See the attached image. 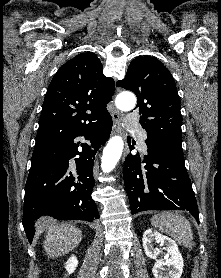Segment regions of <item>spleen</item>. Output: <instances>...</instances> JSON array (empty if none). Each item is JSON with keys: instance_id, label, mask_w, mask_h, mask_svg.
<instances>
[{"instance_id": "3e777b00", "label": "spleen", "mask_w": 221, "mask_h": 278, "mask_svg": "<svg viewBox=\"0 0 221 278\" xmlns=\"http://www.w3.org/2000/svg\"><path fill=\"white\" fill-rule=\"evenodd\" d=\"M151 224L161 232L170 235L184 247L192 248L194 242L191 225L182 215L165 211L154 215L151 218Z\"/></svg>"}]
</instances>
